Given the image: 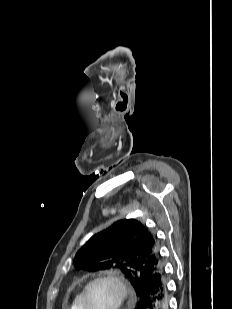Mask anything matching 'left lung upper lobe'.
<instances>
[{
  "mask_svg": "<svg viewBox=\"0 0 232 309\" xmlns=\"http://www.w3.org/2000/svg\"><path fill=\"white\" fill-rule=\"evenodd\" d=\"M74 265L78 270L92 272L119 269L139 299L162 261L156 236L141 222L123 219L93 235L77 252Z\"/></svg>",
  "mask_w": 232,
  "mask_h": 309,
  "instance_id": "1",
  "label": "left lung upper lobe"
}]
</instances>
